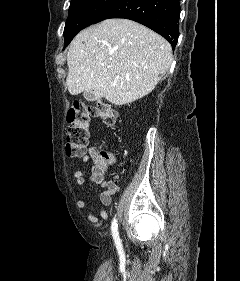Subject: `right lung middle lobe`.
<instances>
[{
    "label": "right lung middle lobe",
    "instance_id": "dd1d6c3e",
    "mask_svg": "<svg viewBox=\"0 0 240 281\" xmlns=\"http://www.w3.org/2000/svg\"><path fill=\"white\" fill-rule=\"evenodd\" d=\"M116 0H71L69 16L64 29L65 46L83 28L96 19Z\"/></svg>",
    "mask_w": 240,
    "mask_h": 281
}]
</instances>
